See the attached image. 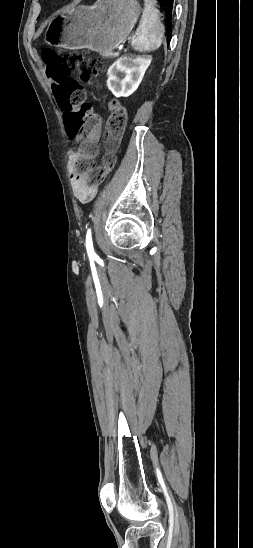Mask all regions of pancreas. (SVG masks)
Returning a JSON list of instances; mask_svg holds the SVG:
<instances>
[{"label":"pancreas","mask_w":253,"mask_h":548,"mask_svg":"<svg viewBox=\"0 0 253 548\" xmlns=\"http://www.w3.org/2000/svg\"><path fill=\"white\" fill-rule=\"evenodd\" d=\"M103 56L106 57V58H114L115 54L113 52H108V53L103 54Z\"/></svg>","instance_id":"obj_1"}]
</instances>
